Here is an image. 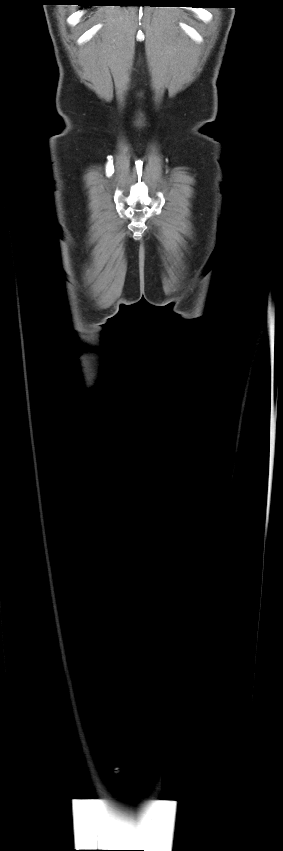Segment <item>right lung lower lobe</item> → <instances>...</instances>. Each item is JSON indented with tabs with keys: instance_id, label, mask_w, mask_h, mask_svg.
<instances>
[{
	"instance_id": "98d812e1",
	"label": "right lung lower lobe",
	"mask_w": 283,
	"mask_h": 851,
	"mask_svg": "<svg viewBox=\"0 0 283 851\" xmlns=\"http://www.w3.org/2000/svg\"><path fill=\"white\" fill-rule=\"evenodd\" d=\"M78 1H81V4H79V5L91 6V5H94V4H89V3L94 2L95 0H78Z\"/></svg>"
}]
</instances>
